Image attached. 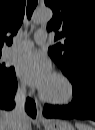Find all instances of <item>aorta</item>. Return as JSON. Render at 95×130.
Segmentation results:
<instances>
[{"label": "aorta", "instance_id": "aorta-1", "mask_svg": "<svg viewBox=\"0 0 95 130\" xmlns=\"http://www.w3.org/2000/svg\"><path fill=\"white\" fill-rule=\"evenodd\" d=\"M52 16L53 13L50 8H38L33 15V21L34 23H47L52 19Z\"/></svg>", "mask_w": 95, "mask_h": 130}]
</instances>
